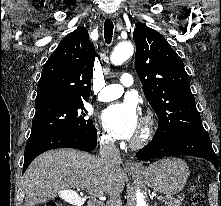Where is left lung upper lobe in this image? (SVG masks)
<instances>
[{
	"label": "left lung upper lobe",
	"instance_id": "5c2ea615",
	"mask_svg": "<svg viewBox=\"0 0 221 206\" xmlns=\"http://www.w3.org/2000/svg\"><path fill=\"white\" fill-rule=\"evenodd\" d=\"M133 38L136 72L146 99L159 117L153 140L207 135L181 58L161 34L146 25H138Z\"/></svg>",
	"mask_w": 221,
	"mask_h": 206
}]
</instances>
